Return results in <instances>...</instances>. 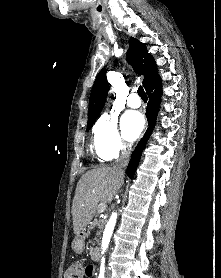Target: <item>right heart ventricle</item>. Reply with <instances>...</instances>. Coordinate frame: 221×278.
Returning <instances> with one entry per match:
<instances>
[{"label":"right heart ventricle","instance_id":"obj_1","mask_svg":"<svg viewBox=\"0 0 221 278\" xmlns=\"http://www.w3.org/2000/svg\"><path fill=\"white\" fill-rule=\"evenodd\" d=\"M98 157L101 159V160H105L103 157H101L98 153H97Z\"/></svg>","mask_w":221,"mask_h":278}]
</instances>
